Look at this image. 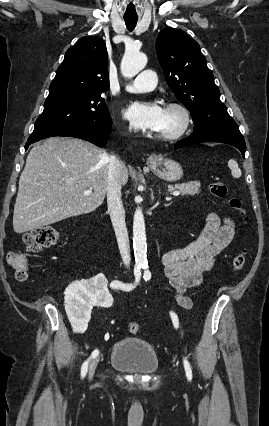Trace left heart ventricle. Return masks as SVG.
<instances>
[{
    "mask_svg": "<svg viewBox=\"0 0 269 426\" xmlns=\"http://www.w3.org/2000/svg\"><path fill=\"white\" fill-rule=\"evenodd\" d=\"M180 124V116L177 112L164 110V117L158 133H168L175 130Z\"/></svg>",
    "mask_w": 269,
    "mask_h": 426,
    "instance_id": "b2bd125f",
    "label": "left heart ventricle"
}]
</instances>
